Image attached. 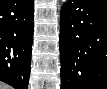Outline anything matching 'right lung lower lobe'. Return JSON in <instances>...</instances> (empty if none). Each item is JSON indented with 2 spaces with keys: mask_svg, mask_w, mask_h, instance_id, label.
Masks as SVG:
<instances>
[{
  "mask_svg": "<svg viewBox=\"0 0 107 89\" xmlns=\"http://www.w3.org/2000/svg\"><path fill=\"white\" fill-rule=\"evenodd\" d=\"M33 0H0V81L27 89L33 42Z\"/></svg>",
  "mask_w": 107,
  "mask_h": 89,
  "instance_id": "obj_1",
  "label": "right lung lower lobe"
}]
</instances>
